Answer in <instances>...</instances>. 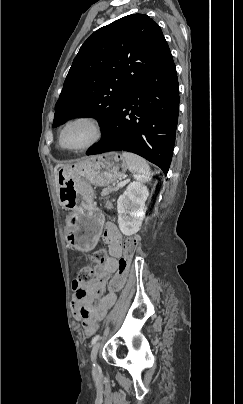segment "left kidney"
I'll use <instances>...</instances> for the list:
<instances>
[{"instance_id":"1","label":"left kidney","mask_w":243,"mask_h":404,"mask_svg":"<svg viewBox=\"0 0 243 404\" xmlns=\"http://www.w3.org/2000/svg\"><path fill=\"white\" fill-rule=\"evenodd\" d=\"M149 196L146 186L141 182H131L117 200L118 224L124 236L139 232L145 218V202Z\"/></svg>"}]
</instances>
